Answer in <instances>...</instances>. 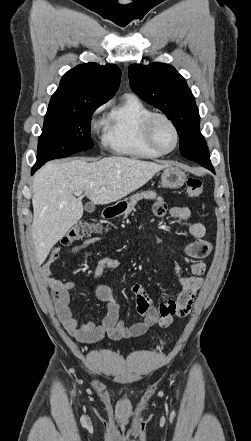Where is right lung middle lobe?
I'll return each mask as SVG.
<instances>
[{
	"label": "right lung middle lobe",
	"instance_id": "dd1d6c3e",
	"mask_svg": "<svg viewBox=\"0 0 251 441\" xmlns=\"http://www.w3.org/2000/svg\"><path fill=\"white\" fill-rule=\"evenodd\" d=\"M107 99L87 98L74 106H49L38 141V161L70 156L94 146L91 116Z\"/></svg>",
	"mask_w": 251,
	"mask_h": 441
}]
</instances>
